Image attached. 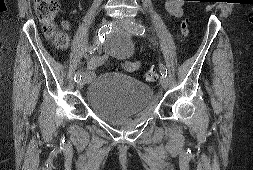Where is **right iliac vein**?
Masks as SVG:
<instances>
[{"instance_id":"63e3f726","label":"right iliac vein","mask_w":253,"mask_h":170,"mask_svg":"<svg viewBox=\"0 0 253 170\" xmlns=\"http://www.w3.org/2000/svg\"><path fill=\"white\" fill-rule=\"evenodd\" d=\"M108 23V18L104 17L101 21V25H105ZM90 79V73L88 71H85L83 73L82 79L80 81L77 82V87L79 89L83 88V86L85 85L86 82H88Z\"/></svg>"}]
</instances>
